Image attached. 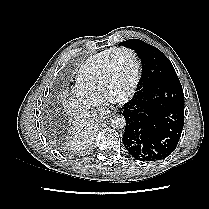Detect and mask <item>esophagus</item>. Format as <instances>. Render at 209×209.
Here are the masks:
<instances>
[{
	"mask_svg": "<svg viewBox=\"0 0 209 209\" xmlns=\"http://www.w3.org/2000/svg\"><path fill=\"white\" fill-rule=\"evenodd\" d=\"M112 114H115L117 112V109L116 108H112Z\"/></svg>",
	"mask_w": 209,
	"mask_h": 209,
	"instance_id": "esophagus-1",
	"label": "esophagus"
}]
</instances>
